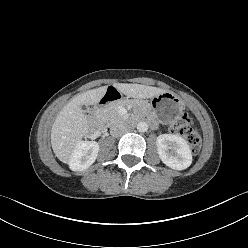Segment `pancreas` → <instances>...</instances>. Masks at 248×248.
Instances as JSON below:
<instances>
[{
	"label": "pancreas",
	"instance_id": "cf45deb5",
	"mask_svg": "<svg viewBox=\"0 0 248 248\" xmlns=\"http://www.w3.org/2000/svg\"><path fill=\"white\" fill-rule=\"evenodd\" d=\"M118 107H119V105H116V106H110V107H107L106 109H104L103 117H104L105 122L108 125H111V124L123 119V117L118 112Z\"/></svg>",
	"mask_w": 248,
	"mask_h": 248
}]
</instances>
